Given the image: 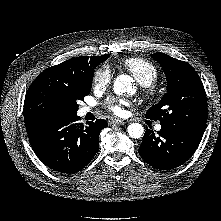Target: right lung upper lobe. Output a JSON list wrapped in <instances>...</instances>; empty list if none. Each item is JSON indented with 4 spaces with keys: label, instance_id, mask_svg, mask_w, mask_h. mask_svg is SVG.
I'll return each instance as SVG.
<instances>
[{
    "label": "right lung upper lobe",
    "instance_id": "1",
    "mask_svg": "<svg viewBox=\"0 0 221 221\" xmlns=\"http://www.w3.org/2000/svg\"><path fill=\"white\" fill-rule=\"evenodd\" d=\"M99 57L92 56L89 58L88 56H83L72 58L53 67L76 76H83L93 69Z\"/></svg>",
    "mask_w": 221,
    "mask_h": 221
}]
</instances>
